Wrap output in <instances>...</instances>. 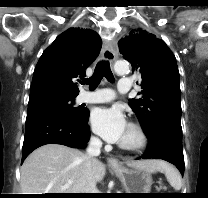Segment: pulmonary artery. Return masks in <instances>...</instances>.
Listing matches in <instances>:
<instances>
[{
    "label": "pulmonary artery",
    "mask_w": 208,
    "mask_h": 198,
    "mask_svg": "<svg viewBox=\"0 0 208 198\" xmlns=\"http://www.w3.org/2000/svg\"><path fill=\"white\" fill-rule=\"evenodd\" d=\"M131 88V83L128 78H121L118 82V91L127 93ZM115 93L109 88L97 89L93 92H82L78 99L81 103H105L113 100Z\"/></svg>",
    "instance_id": "obj_1"
}]
</instances>
